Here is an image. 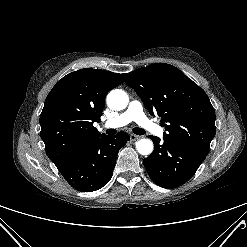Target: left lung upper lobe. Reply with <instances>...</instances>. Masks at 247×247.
Here are the masks:
<instances>
[{"label":"left lung upper lobe","instance_id":"left-lung-upper-lobe-1","mask_svg":"<svg viewBox=\"0 0 247 247\" xmlns=\"http://www.w3.org/2000/svg\"><path fill=\"white\" fill-rule=\"evenodd\" d=\"M150 114L161 117L164 140L208 154L216 133L215 111L206 93L178 68L156 63L122 74Z\"/></svg>","mask_w":247,"mask_h":247}]
</instances>
